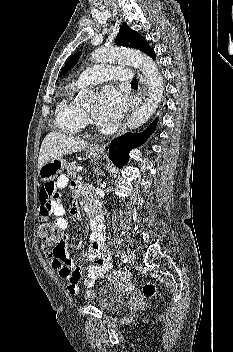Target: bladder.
<instances>
[{
  "mask_svg": "<svg viewBox=\"0 0 233 352\" xmlns=\"http://www.w3.org/2000/svg\"><path fill=\"white\" fill-rule=\"evenodd\" d=\"M125 304V297L122 293L111 287H103L97 294V306L107 312H114L121 309Z\"/></svg>",
  "mask_w": 233,
  "mask_h": 352,
  "instance_id": "1",
  "label": "bladder"
}]
</instances>
